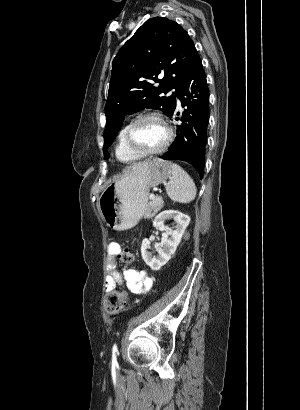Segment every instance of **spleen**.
<instances>
[{
    "instance_id": "obj_1",
    "label": "spleen",
    "mask_w": 300,
    "mask_h": 410,
    "mask_svg": "<svg viewBox=\"0 0 300 410\" xmlns=\"http://www.w3.org/2000/svg\"><path fill=\"white\" fill-rule=\"evenodd\" d=\"M171 178L166 184V192L173 202L189 203L196 196V186L191 177L179 165H171Z\"/></svg>"
}]
</instances>
